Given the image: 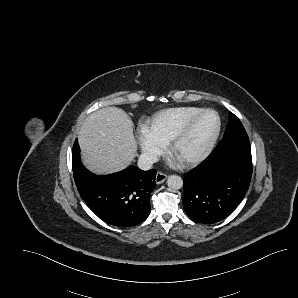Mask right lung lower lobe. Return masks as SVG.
Masks as SVG:
<instances>
[{"label": "right lung lower lobe", "mask_w": 298, "mask_h": 298, "mask_svg": "<svg viewBox=\"0 0 298 298\" xmlns=\"http://www.w3.org/2000/svg\"><path fill=\"white\" fill-rule=\"evenodd\" d=\"M72 167L80 196L106 223L130 227L148 217L150 196L156 186L155 169L142 171L129 166L115 174L95 175L81 163L77 140L72 150Z\"/></svg>", "instance_id": "98d812e1"}]
</instances>
